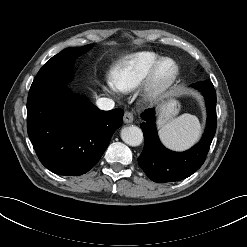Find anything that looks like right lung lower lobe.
Listing matches in <instances>:
<instances>
[{
    "instance_id": "98d812e1",
    "label": "right lung lower lobe",
    "mask_w": 247,
    "mask_h": 247,
    "mask_svg": "<svg viewBox=\"0 0 247 247\" xmlns=\"http://www.w3.org/2000/svg\"><path fill=\"white\" fill-rule=\"evenodd\" d=\"M124 111L99 110L63 86H31L27 130L41 163L59 175L79 176L101 158L122 125Z\"/></svg>"
}]
</instances>
